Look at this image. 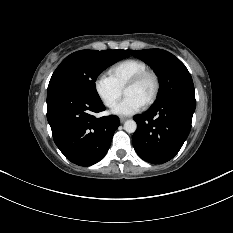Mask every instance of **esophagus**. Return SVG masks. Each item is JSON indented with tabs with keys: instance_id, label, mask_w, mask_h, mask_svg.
Returning a JSON list of instances; mask_svg holds the SVG:
<instances>
[{
	"instance_id": "esophagus-1",
	"label": "esophagus",
	"mask_w": 233,
	"mask_h": 233,
	"mask_svg": "<svg viewBox=\"0 0 233 233\" xmlns=\"http://www.w3.org/2000/svg\"><path fill=\"white\" fill-rule=\"evenodd\" d=\"M119 120H120L121 123H124V122L127 120V118H125V117H120Z\"/></svg>"
}]
</instances>
